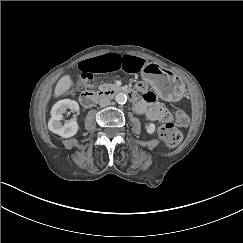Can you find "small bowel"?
I'll return each mask as SVG.
<instances>
[{
    "instance_id": "1",
    "label": "small bowel",
    "mask_w": 243,
    "mask_h": 243,
    "mask_svg": "<svg viewBox=\"0 0 243 243\" xmlns=\"http://www.w3.org/2000/svg\"><path fill=\"white\" fill-rule=\"evenodd\" d=\"M145 65L144 59L131 55L114 53L104 54L79 64L84 72L100 73L124 70L129 73L139 72ZM137 88L142 92V100L136 104V111L144 114L150 121H168L170 114L162 103L157 100L154 92L148 89L145 83H138Z\"/></svg>"
}]
</instances>
